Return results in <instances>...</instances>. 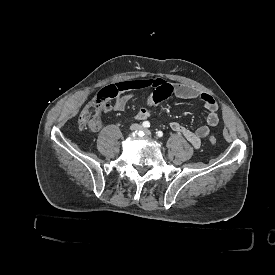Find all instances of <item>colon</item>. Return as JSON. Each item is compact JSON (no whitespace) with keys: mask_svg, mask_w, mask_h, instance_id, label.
Returning <instances> with one entry per match:
<instances>
[{"mask_svg":"<svg viewBox=\"0 0 275 275\" xmlns=\"http://www.w3.org/2000/svg\"><path fill=\"white\" fill-rule=\"evenodd\" d=\"M105 112L104 104L100 101H96L93 104L89 105L85 109L79 119L80 127L85 128L91 122L97 121V119ZM217 142L216 136L209 137V143L215 144Z\"/></svg>","mask_w":275,"mask_h":275,"instance_id":"1","label":"colon"}]
</instances>
